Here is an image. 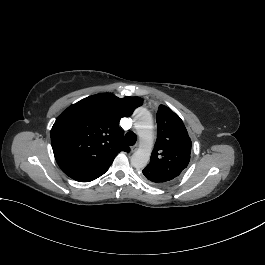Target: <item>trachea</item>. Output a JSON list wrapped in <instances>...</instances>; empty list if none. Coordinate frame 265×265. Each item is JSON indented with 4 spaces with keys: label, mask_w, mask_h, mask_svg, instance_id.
Segmentation results:
<instances>
[{
    "label": "trachea",
    "mask_w": 265,
    "mask_h": 265,
    "mask_svg": "<svg viewBox=\"0 0 265 265\" xmlns=\"http://www.w3.org/2000/svg\"><path fill=\"white\" fill-rule=\"evenodd\" d=\"M137 141V137L133 132H128L126 133L125 137H124V142L128 145V146H133Z\"/></svg>",
    "instance_id": "3493384b"
}]
</instances>
